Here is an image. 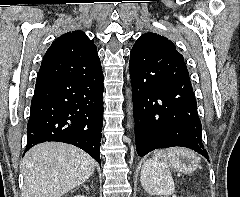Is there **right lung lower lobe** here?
<instances>
[{"mask_svg":"<svg viewBox=\"0 0 240 197\" xmlns=\"http://www.w3.org/2000/svg\"><path fill=\"white\" fill-rule=\"evenodd\" d=\"M103 80L101 68L79 77L36 81L26 151L46 141L65 142L83 149L100 164Z\"/></svg>","mask_w":240,"mask_h":197,"instance_id":"98d812e1","label":"right lung lower lobe"}]
</instances>
